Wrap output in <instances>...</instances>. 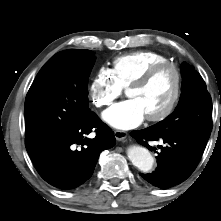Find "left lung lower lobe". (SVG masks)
<instances>
[{"label": "left lung lower lobe", "mask_w": 221, "mask_h": 221, "mask_svg": "<svg viewBox=\"0 0 221 221\" xmlns=\"http://www.w3.org/2000/svg\"><path fill=\"white\" fill-rule=\"evenodd\" d=\"M131 136L140 144L156 151L148 141L161 140L165 146H159L156 170L140 174L155 187L167 189L186 180L198 165L207 144L206 139L188 134H164L155 131L153 126L143 130L132 131Z\"/></svg>", "instance_id": "1"}]
</instances>
